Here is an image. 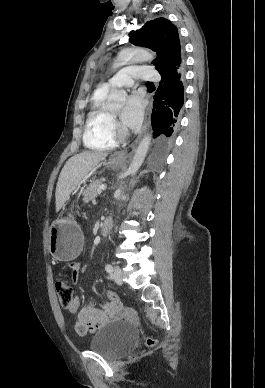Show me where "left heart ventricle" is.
Returning a JSON list of instances; mask_svg holds the SVG:
<instances>
[{"instance_id":"obj_1","label":"left heart ventricle","mask_w":265,"mask_h":388,"mask_svg":"<svg viewBox=\"0 0 265 388\" xmlns=\"http://www.w3.org/2000/svg\"><path fill=\"white\" fill-rule=\"evenodd\" d=\"M133 88V84L132 86H117V84L114 86V88L112 89V91H131ZM121 113V111H118V112H114L112 113L113 115L115 116H118L119 114Z\"/></svg>"}]
</instances>
